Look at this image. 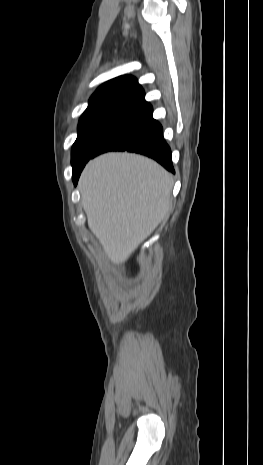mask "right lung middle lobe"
<instances>
[{"mask_svg": "<svg viewBox=\"0 0 263 465\" xmlns=\"http://www.w3.org/2000/svg\"><path fill=\"white\" fill-rule=\"evenodd\" d=\"M138 101L108 100L89 104L80 118L78 137L72 147L73 169L87 163L103 138L124 118Z\"/></svg>", "mask_w": 263, "mask_h": 465, "instance_id": "obj_1", "label": "right lung middle lobe"}]
</instances>
